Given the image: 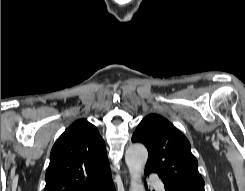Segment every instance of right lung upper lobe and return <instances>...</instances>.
Instances as JSON below:
<instances>
[{"mask_svg": "<svg viewBox=\"0 0 245 191\" xmlns=\"http://www.w3.org/2000/svg\"><path fill=\"white\" fill-rule=\"evenodd\" d=\"M111 178L105 143L96 127L75 121L54 144L44 191H84Z\"/></svg>", "mask_w": 245, "mask_h": 191, "instance_id": "obj_1", "label": "right lung upper lobe"}]
</instances>
